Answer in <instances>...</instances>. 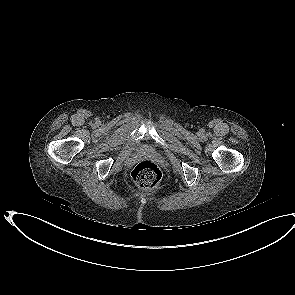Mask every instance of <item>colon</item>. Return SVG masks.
<instances>
[{"mask_svg":"<svg viewBox=\"0 0 295 295\" xmlns=\"http://www.w3.org/2000/svg\"><path fill=\"white\" fill-rule=\"evenodd\" d=\"M132 178L140 188L150 189L161 181L162 173L159 167L149 160L139 162L132 171Z\"/></svg>","mask_w":295,"mask_h":295,"instance_id":"obj_1","label":"colon"}]
</instances>
